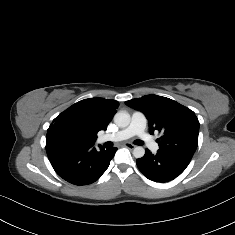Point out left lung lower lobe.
I'll list each match as a JSON object with an SVG mask.
<instances>
[{
	"instance_id": "0a47b994",
	"label": "left lung lower lobe",
	"mask_w": 235,
	"mask_h": 235,
	"mask_svg": "<svg viewBox=\"0 0 235 235\" xmlns=\"http://www.w3.org/2000/svg\"><path fill=\"white\" fill-rule=\"evenodd\" d=\"M191 159L158 150L152 154L146 149L145 155L136 160L139 170L150 180L168 182L179 176L189 165Z\"/></svg>"
}]
</instances>
